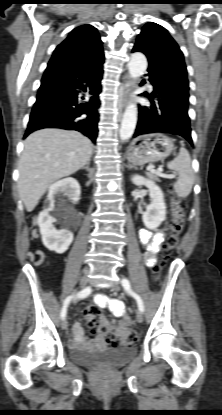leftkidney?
I'll list each match as a JSON object with an SVG mask.
<instances>
[{"label":"left kidney","mask_w":222,"mask_h":415,"mask_svg":"<svg viewBox=\"0 0 222 415\" xmlns=\"http://www.w3.org/2000/svg\"><path fill=\"white\" fill-rule=\"evenodd\" d=\"M131 181L137 186L144 185L149 189L151 203L147 205L146 211L142 215V220L148 229L154 230L159 227L166 218V205L163 192L153 181L148 180L143 176L133 175Z\"/></svg>","instance_id":"5707ae66"}]
</instances>
